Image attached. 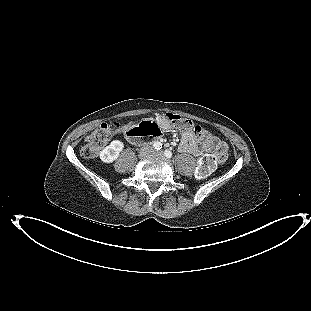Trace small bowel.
<instances>
[{
    "label": "small bowel",
    "mask_w": 311,
    "mask_h": 311,
    "mask_svg": "<svg viewBox=\"0 0 311 311\" xmlns=\"http://www.w3.org/2000/svg\"><path fill=\"white\" fill-rule=\"evenodd\" d=\"M155 120L157 121V124L161 130H169L172 127L166 116H157ZM179 151L182 153H189L193 155L199 154V149L195 143L194 136L191 132H183L182 140L179 144Z\"/></svg>",
    "instance_id": "c3829d8e"
}]
</instances>
